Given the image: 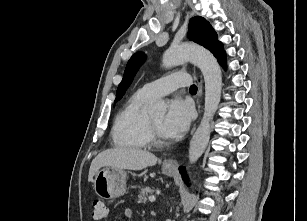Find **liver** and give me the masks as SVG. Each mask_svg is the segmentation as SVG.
Wrapping results in <instances>:
<instances>
[{
	"instance_id": "obj_1",
	"label": "liver",
	"mask_w": 307,
	"mask_h": 221,
	"mask_svg": "<svg viewBox=\"0 0 307 221\" xmlns=\"http://www.w3.org/2000/svg\"><path fill=\"white\" fill-rule=\"evenodd\" d=\"M157 160L154 154L137 148L108 149L93 159L89 169L88 181L93 180L94 175L101 167L142 170L155 165Z\"/></svg>"
}]
</instances>
